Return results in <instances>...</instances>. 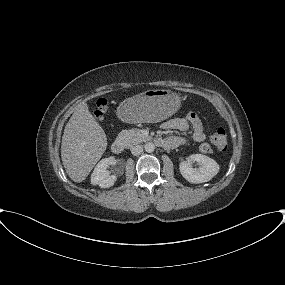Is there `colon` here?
I'll return each instance as SVG.
<instances>
[{
    "label": "colon",
    "mask_w": 285,
    "mask_h": 285,
    "mask_svg": "<svg viewBox=\"0 0 285 285\" xmlns=\"http://www.w3.org/2000/svg\"><path fill=\"white\" fill-rule=\"evenodd\" d=\"M105 107L104 103H99L97 105L98 118H103L106 109ZM210 142L217 150L224 151L227 148V135L225 129L217 128L211 132ZM200 149L204 153H209L211 151V147L208 144H203Z\"/></svg>",
    "instance_id": "colon-1"
}]
</instances>
